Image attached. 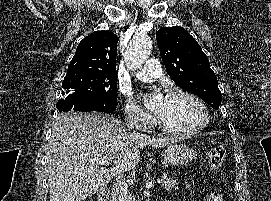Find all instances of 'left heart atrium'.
<instances>
[{
  "label": "left heart atrium",
  "mask_w": 271,
  "mask_h": 201,
  "mask_svg": "<svg viewBox=\"0 0 271 201\" xmlns=\"http://www.w3.org/2000/svg\"><path fill=\"white\" fill-rule=\"evenodd\" d=\"M164 99L165 98L162 96V94L156 92L147 98L145 105L150 111L156 115H159L163 107Z\"/></svg>",
  "instance_id": "left-heart-atrium-1"
}]
</instances>
